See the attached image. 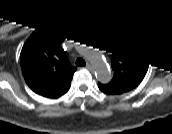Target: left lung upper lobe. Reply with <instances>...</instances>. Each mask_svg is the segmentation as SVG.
<instances>
[{
  "label": "left lung upper lobe",
  "mask_w": 172,
  "mask_h": 134,
  "mask_svg": "<svg viewBox=\"0 0 172 134\" xmlns=\"http://www.w3.org/2000/svg\"><path fill=\"white\" fill-rule=\"evenodd\" d=\"M111 54L113 78L108 84L98 83L106 94H122L137 87L148 69L146 52L132 39L123 34L107 37Z\"/></svg>",
  "instance_id": "1"
}]
</instances>
